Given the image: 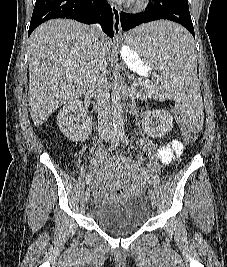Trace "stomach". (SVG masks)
<instances>
[{
  "instance_id": "stomach-1",
  "label": "stomach",
  "mask_w": 227,
  "mask_h": 267,
  "mask_svg": "<svg viewBox=\"0 0 227 267\" xmlns=\"http://www.w3.org/2000/svg\"><path fill=\"white\" fill-rule=\"evenodd\" d=\"M122 57L128 68L136 73L147 75L151 67H157V63H142L138 51H133V47H126V43L122 51Z\"/></svg>"
}]
</instances>
